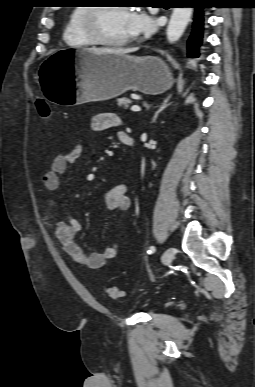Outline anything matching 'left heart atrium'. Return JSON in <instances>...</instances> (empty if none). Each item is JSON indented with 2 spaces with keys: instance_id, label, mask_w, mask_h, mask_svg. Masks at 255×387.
<instances>
[{
  "instance_id": "39dd6f15",
  "label": "left heart atrium",
  "mask_w": 255,
  "mask_h": 387,
  "mask_svg": "<svg viewBox=\"0 0 255 387\" xmlns=\"http://www.w3.org/2000/svg\"><path fill=\"white\" fill-rule=\"evenodd\" d=\"M129 25L132 36L148 35L154 30L153 20L145 13L130 12Z\"/></svg>"
}]
</instances>
